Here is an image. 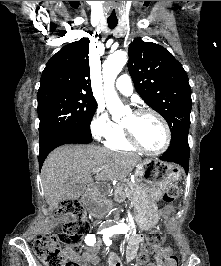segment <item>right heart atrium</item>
Here are the masks:
<instances>
[{
	"label": "right heart atrium",
	"instance_id": "obj_1",
	"mask_svg": "<svg viewBox=\"0 0 221 266\" xmlns=\"http://www.w3.org/2000/svg\"><path fill=\"white\" fill-rule=\"evenodd\" d=\"M117 130L115 124L102 106H97L90 122V131L94 139L106 140Z\"/></svg>",
	"mask_w": 221,
	"mask_h": 266
}]
</instances>
